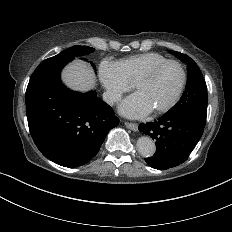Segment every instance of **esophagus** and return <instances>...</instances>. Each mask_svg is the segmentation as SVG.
<instances>
[{"instance_id":"esophagus-1","label":"esophagus","mask_w":232,"mask_h":232,"mask_svg":"<svg viewBox=\"0 0 232 232\" xmlns=\"http://www.w3.org/2000/svg\"><path fill=\"white\" fill-rule=\"evenodd\" d=\"M126 128L136 132L138 131V125L136 123H131V122H125Z\"/></svg>"}]
</instances>
